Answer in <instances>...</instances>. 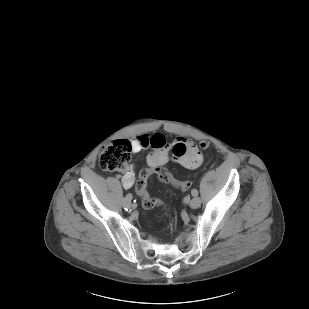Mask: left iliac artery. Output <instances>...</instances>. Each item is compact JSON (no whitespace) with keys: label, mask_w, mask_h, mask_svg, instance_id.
Listing matches in <instances>:
<instances>
[{"label":"left iliac artery","mask_w":309,"mask_h":309,"mask_svg":"<svg viewBox=\"0 0 309 309\" xmlns=\"http://www.w3.org/2000/svg\"><path fill=\"white\" fill-rule=\"evenodd\" d=\"M191 193H192L193 196H197L198 195V191L196 189H193L191 191Z\"/></svg>","instance_id":"obj_1"}]
</instances>
